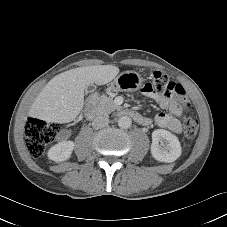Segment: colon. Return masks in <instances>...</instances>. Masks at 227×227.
<instances>
[{
  "mask_svg": "<svg viewBox=\"0 0 227 227\" xmlns=\"http://www.w3.org/2000/svg\"><path fill=\"white\" fill-rule=\"evenodd\" d=\"M149 82L155 87V94L163 95L165 91H172L180 97L186 108H191V103L188 100L183 87L171 82L165 73L154 71L151 74ZM198 129L199 121L196 117L190 116L184 120L183 130L187 139H193L197 135ZM24 132L27 150L33 158L42 156L47 144L63 134L60 125L48 123L37 118L28 119Z\"/></svg>",
  "mask_w": 227,
  "mask_h": 227,
  "instance_id": "1",
  "label": "colon"
}]
</instances>
